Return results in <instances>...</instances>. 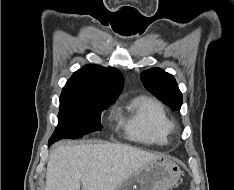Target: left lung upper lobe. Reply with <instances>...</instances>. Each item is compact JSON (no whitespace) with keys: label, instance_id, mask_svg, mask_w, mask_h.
Returning <instances> with one entry per match:
<instances>
[{"label":"left lung upper lobe","instance_id":"1","mask_svg":"<svg viewBox=\"0 0 234 190\" xmlns=\"http://www.w3.org/2000/svg\"><path fill=\"white\" fill-rule=\"evenodd\" d=\"M141 80L147 90L170 106L172 110L180 109L182 93L171 74L160 68H152L141 73Z\"/></svg>","mask_w":234,"mask_h":190}]
</instances>
